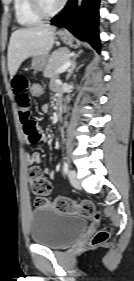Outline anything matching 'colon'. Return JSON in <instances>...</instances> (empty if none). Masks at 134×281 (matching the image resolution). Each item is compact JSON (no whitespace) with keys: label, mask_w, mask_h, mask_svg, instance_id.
<instances>
[{"label":"colon","mask_w":134,"mask_h":281,"mask_svg":"<svg viewBox=\"0 0 134 281\" xmlns=\"http://www.w3.org/2000/svg\"><path fill=\"white\" fill-rule=\"evenodd\" d=\"M29 92L33 98H39L44 93V86L41 82L34 81L30 84ZM29 185L32 192L38 196L35 200V205L37 207H52L61 213L78 214L86 218H99L98 212L90 201L84 200L81 202H75L65 197L56 198L52 202L47 200L44 196L51 191V184L45 177H43L42 171L39 167H33L30 170ZM108 237L109 233L107 231L100 230L94 236L93 243H103L108 239Z\"/></svg>","instance_id":"1"}]
</instances>
